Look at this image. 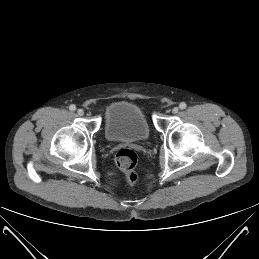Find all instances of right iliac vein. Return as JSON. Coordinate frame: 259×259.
Returning <instances> with one entry per match:
<instances>
[{
	"label": "right iliac vein",
	"instance_id": "63e3f726",
	"mask_svg": "<svg viewBox=\"0 0 259 259\" xmlns=\"http://www.w3.org/2000/svg\"><path fill=\"white\" fill-rule=\"evenodd\" d=\"M77 114H78L79 116H83V115H84V110H83V109H78V110H77Z\"/></svg>",
	"mask_w": 259,
	"mask_h": 259
}]
</instances>
